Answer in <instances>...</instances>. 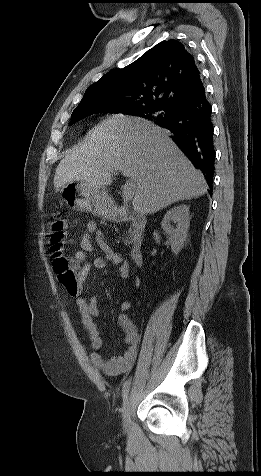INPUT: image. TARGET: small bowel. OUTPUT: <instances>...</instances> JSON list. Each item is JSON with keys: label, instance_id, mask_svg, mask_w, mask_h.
<instances>
[{"label": "small bowel", "instance_id": "small-bowel-1", "mask_svg": "<svg viewBox=\"0 0 261 476\" xmlns=\"http://www.w3.org/2000/svg\"><path fill=\"white\" fill-rule=\"evenodd\" d=\"M100 248L102 254L97 256L93 261L88 259L89 254L93 251V241ZM80 250L73 257V264L78 273V287L75 291L68 293L75 298L78 306L82 325L88 332L93 352L90 355L93 366L110 376L119 375L132 369L138 354V345L140 343V334L132 320L127 316L126 312L130 310L132 303L129 299H125L120 304L119 325L123 330V340L127 348L123 355L105 358L100 351L104 347V341L100 336L94 319L99 316L98 301L95 297L87 299L84 296V286L86 280L92 270L105 269L108 264L118 267L119 275L122 279L130 277V264L124 260L122 256L114 251L105 241L103 234L93 221H89L86 225V231L81 235Z\"/></svg>", "mask_w": 261, "mask_h": 476}]
</instances>
